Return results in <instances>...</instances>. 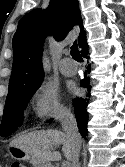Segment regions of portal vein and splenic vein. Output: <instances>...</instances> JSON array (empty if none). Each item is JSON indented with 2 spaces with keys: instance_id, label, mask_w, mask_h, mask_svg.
I'll use <instances>...</instances> for the list:
<instances>
[{
  "instance_id": "portal-vein-and-splenic-vein-1",
  "label": "portal vein and splenic vein",
  "mask_w": 125,
  "mask_h": 167,
  "mask_svg": "<svg viewBox=\"0 0 125 167\" xmlns=\"http://www.w3.org/2000/svg\"><path fill=\"white\" fill-rule=\"evenodd\" d=\"M61 167H70V163L69 162H63Z\"/></svg>"
}]
</instances>
